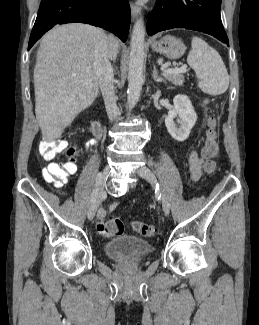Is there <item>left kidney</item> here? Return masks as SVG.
<instances>
[{"mask_svg": "<svg viewBox=\"0 0 259 325\" xmlns=\"http://www.w3.org/2000/svg\"><path fill=\"white\" fill-rule=\"evenodd\" d=\"M175 118L180 124L179 127L175 124ZM196 121L197 114L190 99L186 95H176L173 99V107L165 118V125L169 134L175 140L182 142L188 138Z\"/></svg>", "mask_w": 259, "mask_h": 325, "instance_id": "left-kidney-1", "label": "left kidney"}]
</instances>
